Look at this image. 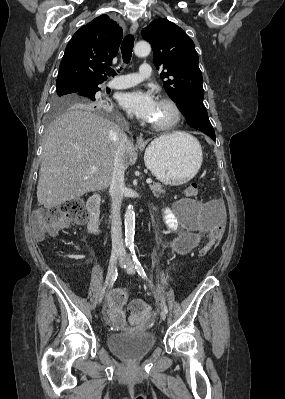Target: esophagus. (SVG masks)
<instances>
[{"instance_id":"esophagus-1","label":"esophagus","mask_w":285,"mask_h":399,"mask_svg":"<svg viewBox=\"0 0 285 399\" xmlns=\"http://www.w3.org/2000/svg\"><path fill=\"white\" fill-rule=\"evenodd\" d=\"M138 30V24L137 23H133L130 27V32L132 34H135ZM136 146L139 148H144L145 147V141L143 136H139L136 140Z\"/></svg>"}]
</instances>
